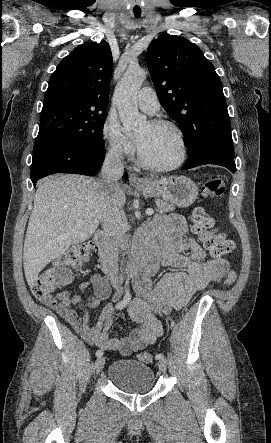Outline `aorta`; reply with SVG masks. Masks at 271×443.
<instances>
[{"mask_svg":"<svg viewBox=\"0 0 271 443\" xmlns=\"http://www.w3.org/2000/svg\"><path fill=\"white\" fill-rule=\"evenodd\" d=\"M146 80V72L140 66H128L124 76L118 82L113 96L126 134L141 132L147 124L146 116L138 112L137 94Z\"/></svg>","mask_w":271,"mask_h":443,"instance_id":"1","label":"aorta"}]
</instances>
